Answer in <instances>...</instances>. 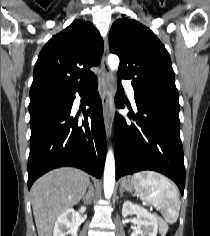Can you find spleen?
Returning a JSON list of instances; mask_svg holds the SVG:
<instances>
[{
  "label": "spleen",
  "instance_id": "obj_1",
  "mask_svg": "<svg viewBox=\"0 0 210 236\" xmlns=\"http://www.w3.org/2000/svg\"><path fill=\"white\" fill-rule=\"evenodd\" d=\"M140 197L161 211L168 223H175L180 210L177 189L164 176L154 172H138L132 176Z\"/></svg>",
  "mask_w": 210,
  "mask_h": 236
}]
</instances>
